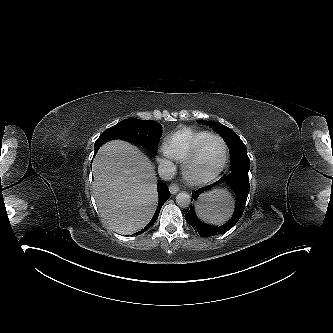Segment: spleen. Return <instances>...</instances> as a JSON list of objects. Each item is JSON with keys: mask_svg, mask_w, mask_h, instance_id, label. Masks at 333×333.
I'll return each instance as SVG.
<instances>
[{"mask_svg": "<svg viewBox=\"0 0 333 333\" xmlns=\"http://www.w3.org/2000/svg\"><path fill=\"white\" fill-rule=\"evenodd\" d=\"M196 209L202 220L220 225L231 216L233 199L226 189H216L202 195Z\"/></svg>", "mask_w": 333, "mask_h": 333, "instance_id": "obj_1", "label": "spleen"}]
</instances>
